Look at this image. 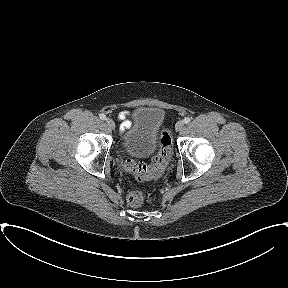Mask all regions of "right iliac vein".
Wrapping results in <instances>:
<instances>
[{"instance_id":"right-iliac-vein-1","label":"right iliac vein","mask_w":288,"mask_h":288,"mask_svg":"<svg viewBox=\"0 0 288 288\" xmlns=\"http://www.w3.org/2000/svg\"><path fill=\"white\" fill-rule=\"evenodd\" d=\"M106 123H107V125H108L111 129H114V128H115V123H114V121H113L112 119L107 118V119H106Z\"/></svg>"}]
</instances>
